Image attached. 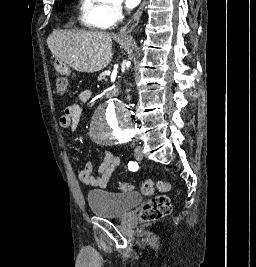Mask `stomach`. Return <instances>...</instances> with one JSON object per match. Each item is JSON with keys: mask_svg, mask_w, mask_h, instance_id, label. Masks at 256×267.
I'll return each instance as SVG.
<instances>
[{"mask_svg": "<svg viewBox=\"0 0 256 267\" xmlns=\"http://www.w3.org/2000/svg\"><path fill=\"white\" fill-rule=\"evenodd\" d=\"M56 67H67V62H56Z\"/></svg>", "mask_w": 256, "mask_h": 267, "instance_id": "1", "label": "stomach"}]
</instances>
